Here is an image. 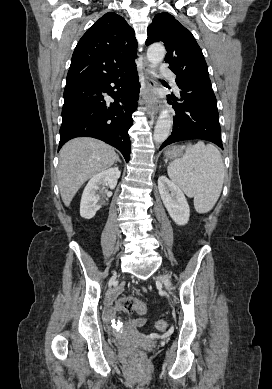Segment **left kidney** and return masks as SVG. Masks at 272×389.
I'll list each match as a JSON object with an SVG mask.
<instances>
[{
    "mask_svg": "<svg viewBox=\"0 0 272 389\" xmlns=\"http://www.w3.org/2000/svg\"><path fill=\"white\" fill-rule=\"evenodd\" d=\"M158 189L170 217L177 225H185L189 221L190 208L184 193L166 176L158 179Z\"/></svg>",
    "mask_w": 272,
    "mask_h": 389,
    "instance_id": "5707ae66",
    "label": "left kidney"
}]
</instances>
